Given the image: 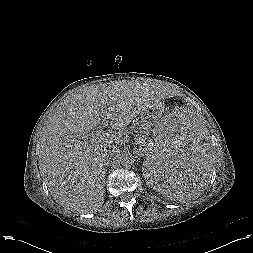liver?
Here are the masks:
<instances>
[{"mask_svg": "<svg viewBox=\"0 0 253 253\" xmlns=\"http://www.w3.org/2000/svg\"><path fill=\"white\" fill-rule=\"evenodd\" d=\"M158 89L133 81L91 85L71 96L51 117L38 162L58 204L93 212L104 203L107 148L119 142L132 120L159 100ZM107 114L114 131L92 140L91 132Z\"/></svg>", "mask_w": 253, "mask_h": 253, "instance_id": "liver-1", "label": "liver"}]
</instances>
